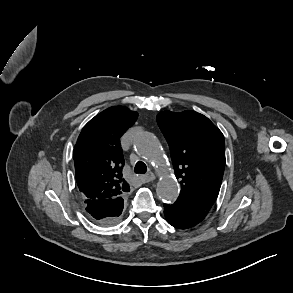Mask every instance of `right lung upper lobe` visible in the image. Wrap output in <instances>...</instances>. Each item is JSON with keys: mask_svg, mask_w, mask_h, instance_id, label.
Segmentation results:
<instances>
[{"mask_svg": "<svg viewBox=\"0 0 293 293\" xmlns=\"http://www.w3.org/2000/svg\"><path fill=\"white\" fill-rule=\"evenodd\" d=\"M137 117L136 112L114 106L99 113L82 129L73 157L76 181L85 201L114 199L130 191L122 178L120 137Z\"/></svg>", "mask_w": 293, "mask_h": 293, "instance_id": "1", "label": "right lung upper lobe"}]
</instances>
